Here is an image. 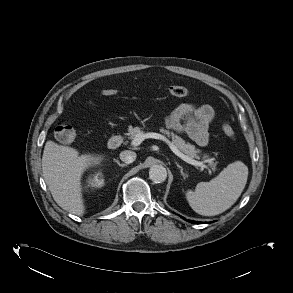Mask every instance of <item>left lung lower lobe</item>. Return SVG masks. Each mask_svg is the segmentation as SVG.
<instances>
[{
	"instance_id": "obj_1",
	"label": "left lung lower lobe",
	"mask_w": 293,
	"mask_h": 293,
	"mask_svg": "<svg viewBox=\"0 0 293 293\" xmlns=\"http://www.w3.org/2000/svg\"><path fill=\"white\" fill-rule=\"evenodd\" d=\"M183 218V217H182ZM183 219H185V218H183ZM191 223H200V222H195V221H190Z\"/></svg>"
}]
</instances>
